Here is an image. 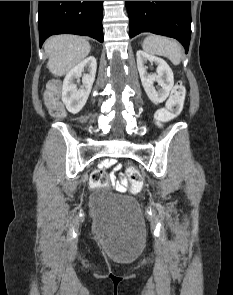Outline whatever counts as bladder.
<instances>
[{"label": "bladder", "instance_id": "bladder-1", "mask_svg": "<svg viewBox=\"0 0 233 295\" xmlns=\"http://www.w3.org/2000/svg\"><path fill=\"white\" fill-rule=\"evenodd\" d=\"M90 208L98 221L134 220L138 215V203L125 195L96 188L90 196Z\"/></svg>", "mask_w": 233, "mask_h": 295}]
</instances>
